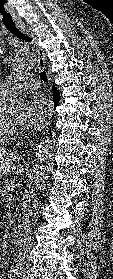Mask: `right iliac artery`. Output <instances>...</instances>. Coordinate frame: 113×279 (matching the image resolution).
Segmentation results:
<instances>
[{
  "mask_svg": "<svg viewBox=\"0 0 113 279\" xmlns=\"http://www.w3.org/2000/svg\"><path fill=\"white\" fill-rule=\"evenodd\" d=\"M16 274H17L16 269H13V270L10 272V274H9V278H10V279H14L15 276H16Z\"/></svg>",
  "mask_w": 113,
  "mask_h": 279,
  "instance_id": "right-iliac-artery-1",
  "label": "right iliac artery"
}]
</instances>
